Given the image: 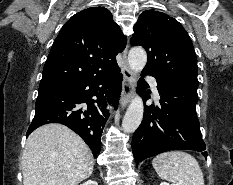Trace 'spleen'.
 Instances as JSON below:
<instances>
[{
  "mask_svg": "<svg viewBox=\"0 0 233 185\" xmlns=\"http://www.w3.org/2000/svg\"><path fill=\"white\" fill-rule=\"evenodd\" d=\"M160 178L173 185H204V176L197 160L182 151L162 153L152 160Z\"/></svg>",
  "mask_w": 233,
  "mask_h": 185,
  "instance_id": "1",
  "label": "spleen"
}]
</instances>
